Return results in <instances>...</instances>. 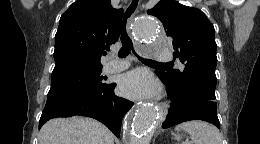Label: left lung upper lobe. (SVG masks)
Segmentation results:
<instances>
[{"label": "left lung upper lobe", "instance_id": "1", "mask_svg": "<svg viewBox=\"0 0 260 144\" xmlns=\"http://www.w3.org/2000/svg\"><path fill=\"white\" fill-rule=\"evenodd\" d=\"M148 14L156 16L172 40L174 57L185 66L183 70L158 71L174 89L188 84L215 92L217 64L215 30L205 14L174 0H161Z\"/></svg>", "mask_w": 260, "mask_h": 144}]
</instances>
